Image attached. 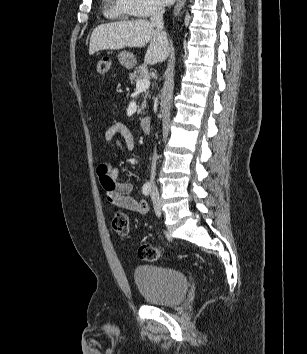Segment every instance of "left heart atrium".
<instances>
[{
    "label": "left heart atrium",
    "mask_w": 307,
    "mask_h": 354,
    "mask_svg": "<svg viewBox=\"0 0 307 354\" xmlns=\"http://www.w3.org/2000/svg\"><path fill=\"white\" fill-rule=\"evenodd\" d=\"M163 4H171L174 2V0H161Z\"/></svg>",
    "instance_id": "left-heart-atrium-1"
}]
</instances>
